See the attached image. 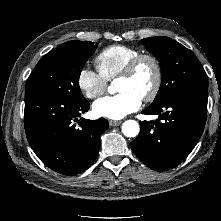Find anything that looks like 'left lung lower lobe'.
<instances>
[{
  "instance_id": "left-lung-lower-lobe-1",
  "label": "left lung lower lobe",
  "mask_w": 221,
  "mask_h": 221,
  "mask_svg": "<svg viewBox=\"0 0 221 221\" xmlns=\"http://www.w3.org/2000/svg\"><path fill=\"white\" fill-rule=\"evenodd\" d=\"M207 100L206 88H191L146 108L143 114H158L159 119L140 124V134L130 143L132 151L155 171H166L180 164L203 133Z\"/></svg>"
}]
</instances>
